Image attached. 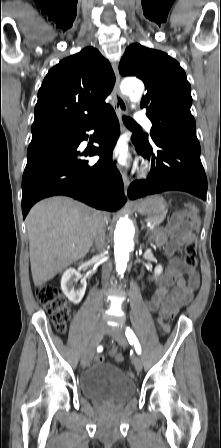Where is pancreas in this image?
<instances>
[{
	"mask_svg": "<svg viewBox=\"0 0 221 448\" xmlns=\"http://www.w3.org/2000/svg\"><path fill=\"white\" fill-rule=\"evenodd\" d=\"M165 216H166V213L162 214V215H159V216L148 217L146 219V221L152 223L154 225V227H155V226H158L160 223L163 222Z\"/></svg>",
	"mask_w": 221,
	"mask_h": 448,
	"instance_id": "obj_1",
	"label": "pancreas"
}]
</instances>
